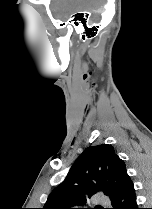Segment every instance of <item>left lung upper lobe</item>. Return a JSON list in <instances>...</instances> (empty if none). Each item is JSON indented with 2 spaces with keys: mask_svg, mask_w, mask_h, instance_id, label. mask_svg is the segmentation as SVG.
Masks as SVG:
<instances>
[{
  "mask_svg": "<svg viewBox=\"0 0 152 209\" xmlns=\"http://www.w3.org/2000/svg\"><path fill=\"white\" fill-rule=\"evenodd\" d=\"M129 178L123 160L108 144L88 147L76 159L65 180L49 195L43 209H73L103 191L114 197Z\"/></svg>",
  "mask_w": 152,
  "mask_h": 209,
  "instance_id": "1",
  "label": "left lung upper lobe"
}]
</instances>
